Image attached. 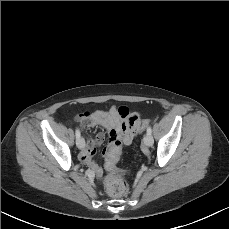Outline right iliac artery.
Wrapping results in <instances>:
<instances>
[{"label":"right iliac artery","mask_w":229,"mask_h":229,"mask_svg":"<svg viewBox=\"0 0 229 229\" xmlns=\"http://www.w3.org/2000/svg\"><path fill=\"white\" fill-rule=\"evenodd\" d=\"M75 134H76V139H79L81 134H80V131H79L78 128L76 129V133Z\"/></svg>","instance_id":"obj_1"}]
</instances>
